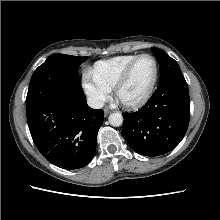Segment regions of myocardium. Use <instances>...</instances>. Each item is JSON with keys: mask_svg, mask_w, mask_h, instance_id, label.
<instances>
[{"mask_svg": "<svg viewBox=\"0 0 220 220\" xmlns=\"http://www.w3.org/2000/svg\"><path fill=\"white\" fill-rule=\"evenodd\" d=\"M148 57L150 59L153 60L154 64H155V74H154V79L152 81V84L150 86V88L148 89V91L145 93V95L143 97H141L138 100L135 101H124L120 98L119 93L120 90L124 87V85L128 82V80L130 79V76L136 66V64L142 59ZM159 78V64L158 61L156 60V58L150 54H141L139 56H137L132 62L131 64L128 66V68L125 70L124 74L121 76V78L117 81V83L115 84L113 90H114V95L116 97V99L121 102L124 106L129 107V108H138L143 106L144 104H146L149 99L151 98V96L153 95L156 85H157V81Z\"/></svg>", "mask_w": 220, "mask_h": 220, "instance_id": "1", "label": "myocardium"}]
</instances>
